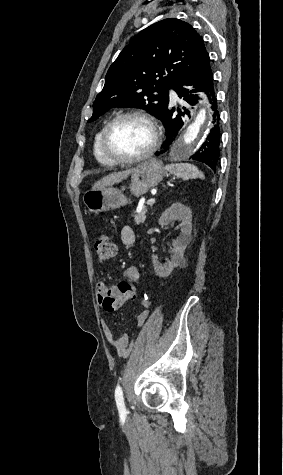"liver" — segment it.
<instances>
[{"instance_id": "6515ba94", "label": "liver", "mask_w": 283, "mask_h": 475, "mask_svg": "<svg viewBox=\"0 0 283 475\" xmlns=\"http://www.w3.org/2000/svg\"><path fill=\"white\" fill-rule=\"evenodd\" d=\"M133 170H125V172H113V174H109V176H105V178H101L99 182H96L94 186H92L93 192L95 190H102V188H107V186H114V184H119L122 180H126L130 174H132Z\"/></svg>"}]
</instances>
